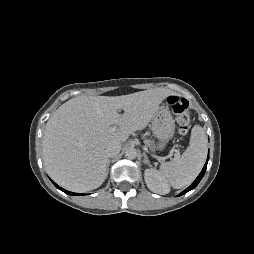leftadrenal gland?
<instances>
[{
	"instance_id": "left-adrenal-gland-1",
	"label": "left adrenal gland",
	"mask_w": 254,
	"mask_h": 254,
	"mask_svg": "<svg viewBox=\"0 0 254 254\" xmlns=\"http://www.w3.org/2000/svg\"><path fill=\"white\" fill-rule=\"evenodd\" d=\"M143 156H144L143 163H144V164H148V165H149V163H150V162H149L148 157H147V155H146V153H145V152L143 153Z\"/></svg>"
}]
</instances>
